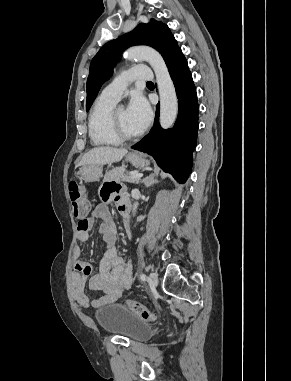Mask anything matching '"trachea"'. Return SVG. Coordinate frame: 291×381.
<instances>
[{"mask_svg":"<svg viewBox=\"0 0 291 381\" xmlns=\"http://www.w3.org/2000/svg\"><path fill=\"white\" fill-rule=\"evenodd\" d=\"M147 84H153V82L149 81V82H147Z\"/></svg>","mask_w":291,"mask_h":381,"instance_id":"trachea-1","label":"trachea"}]
</instances>
